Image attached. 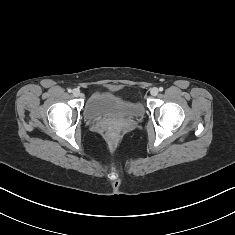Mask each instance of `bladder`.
Instances as JSON below:
<instances>
[{"mask_svg": "<svg viewBox=\"0 0 235 235\" xmlns=\"http://www.w3.org/2000/svg\"><path fill=\"white\" fill-rule=\"evenodd\" d=\"M84 114L89 120L140 117L143 105L139 100L123 97L108 88L95 91L88 97Z\"/></svg>", "mask_w": 235, "mask_h": 235, "instance_id": "obj_1", "label": "bladder"}]
</instances>
